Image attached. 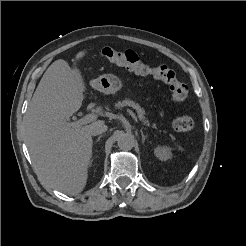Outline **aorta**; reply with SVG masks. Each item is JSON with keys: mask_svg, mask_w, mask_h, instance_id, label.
<instances>
[{"mask_svg": "<svg viewBox=\"0 0 246 246\" xmlns=\"http://www.w3.org/2000/svg\"><path fill=\"white\" fill-rule=\"evenodd\" d=\"M118 147L122 150H130L134 146V136L131 133L121 132L117 136Z\"/></svg>", "mask_w": 246, "mask_h": 246, "instance_id": "1", "label": "aorta"}]
</instances>
